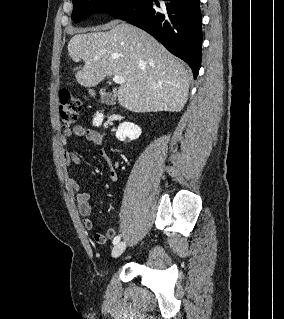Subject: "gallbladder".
<instances>
[{
  "instance_id": "1",
  "label": "gallbladder",
  "mask_w": 284,
  "mask_h": 319,
  "mask_svg": "<svg viewBox=\"0 0 284 319\" xmlns=\"http://www.w3.org/2000/svg\"><path fill=\"white\" fill-rule=\"evenodd\" d=\"M100 99L102 103H106V104H112L115 101L113 95L111 93H106V92H103L102 94H100Z\"/></svg>"
}]
</instances>
